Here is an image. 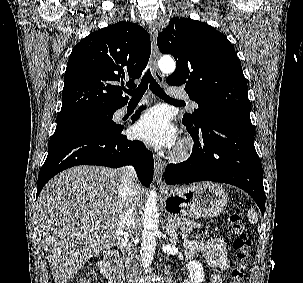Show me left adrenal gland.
I'll return each instance as SVG.
<instances>
[{
    "label": "left adrenal gland",
    "instance_id": "left-adrenal-gland-1",
    "mask_svg": "<svg viewBox=\"0 0 303 283\" xmlns=\"http://www.w3.org/2000/svg\"><path fill=\"white\" fill-rule=\"evenodd\" d=\"M166 233L172 240H178V233L170 223H166Z\"/></svg>",
    "mask_w": 303,
    "mask_h": 283
}]
</instances>
